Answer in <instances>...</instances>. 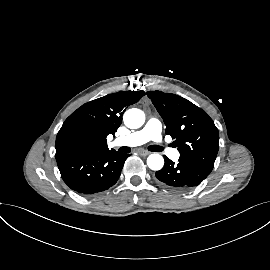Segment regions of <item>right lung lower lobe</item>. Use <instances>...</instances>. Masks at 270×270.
<instances>
[{"label": "right lung lower lobe", "mask_w": 270, "mask_h": 270, "mask_svg": "<svg viewBox=\"0 0 270 270\" xmlns=\"http://www.w3.org/2000/svg\"><path fill=\"white\" fill-rule=\"evenodd\" d=\"M129 154L114 149L91 151L57 160L64 182L80 194H95L109 189L120 177Z\"/></svg>", "instance_id": "98d812e1"}]
</instances>
